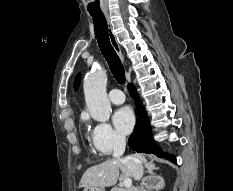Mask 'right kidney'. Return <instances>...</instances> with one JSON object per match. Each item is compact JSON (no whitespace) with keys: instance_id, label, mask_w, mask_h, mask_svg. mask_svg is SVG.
I'll return each instance as SVG.
<instances>
[{"instance_id":"ca27d5eb","label":"right kidney","mask_w":233,"mask_h":191,"mask_svg":"<svg viewBox=\"0 0 233 191\" xmlns=\"http://www.w3.org/2000/svg\"><path fill=\"white\" fill-rule=\"evenodd\" d=\"M164 186V179L161 176H156L152 183L149 185V188L159 191L160 189L164 188Z\"/></svg>"}]
</instances>
